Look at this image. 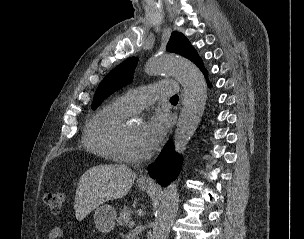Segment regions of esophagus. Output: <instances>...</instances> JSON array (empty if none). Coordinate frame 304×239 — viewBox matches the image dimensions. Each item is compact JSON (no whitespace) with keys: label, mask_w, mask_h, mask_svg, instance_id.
I'll list each match as a JSON object with an SVG mask.
<instances>
[{"label":"esophagus","mask_w":304,"mask_h":239,"mask_svg":"<svg viewBox=\"0 0 304 239\" xmlns=\"http://www.w3.org/2000/svg\"><path fill=\"white\" fill-rule=\"evenodd\" d=\"M180 107H181V102L179 104V108ZM139 182L143 183V184H153L154 183L152 178L147 174H144V175L140 176Z\"/></svg>","instance_id":"34e87169"}]
</instances>
